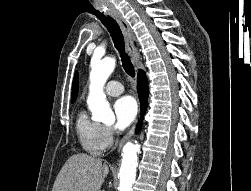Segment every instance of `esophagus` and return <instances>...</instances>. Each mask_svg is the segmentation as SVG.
I'll list each match as a JSON object with an SVG mask.
<instances>
[{
  "mask_svg": "<svg viewBox=\"0 0 251 191\" xmlns=\"http://www.w3.org/2000/svg\"><path fill=\"white\" fill-rule=\"evenodd\" d=\"M109 15L114 17L116 21L119 23L126 41L127 50L129 52L132 62L135 63L139 57V52L138 48L134 44V35L129 24L126 22L125 18L121 15L119 11H111L109 12ZM134 131H135V126L125 136H123V138L119 143L118 151H120L124 143H126V141L131 138Z\"/></svg>",
  "mask_w": 251,
  "mask_h": 191,
  "instance_id": "obj_1",
  "label": "esophagus"
}]
</instances>
